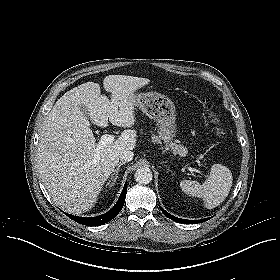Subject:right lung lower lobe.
Instances as JSON below:
<instances>
[{
	"mask_svg": "<svg viewBox=\"0 0 280 280\" xmlns=\"http://www.w3.org/2000/svg\"><path fill=\"white\" fill-rule=\"evenodd\" d=\"M126 191H127V188H126V184H125L117 203L110 211H108L105 214H102V215H99L96 217H88V218L73 216V215H69L66 213L65 214L79 224H83V225H87V226H99V225L105 224L106 222H109L112 219H114L118 215V213L121 211V209L124 205V202H125Z\"/></svg>",
	"mask_w": 280,
	"mask_h": 280,
	"instance_id": "98d812e1",
	"label": "right lung lower lobe"
}]
</instances>
